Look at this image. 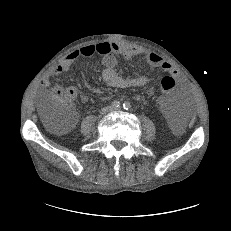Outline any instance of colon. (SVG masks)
<instances>
[{
	"instance_id": "obj_1",
	"label": "colon",
	"mask_w": 231,
	"mask_h": 231,
	"mask_svg": "<svg viewBox=\"0 0 231 231\" xmlns=\"http://www.w3.org/2000/svg\"><path fill=\"white\" fill-rule=\"evenodd\" d=\"M159 85L162 94L171 95L175 91L176 80L172 75L165 74L160 78ZM74 96L72 88L53 90L43 107L44 122L49 129L64 131L72 125L75 119L71 108Z\"/></svg>"
}]
</instances>
